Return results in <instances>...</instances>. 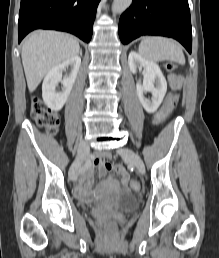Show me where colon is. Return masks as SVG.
I'll use <instances>...</instances> for the list:
<instances>
[{
  "label": "colon",
  "mask_w": 219,
  "mask_h": 258,
  "mask_svg": "<svg viewBox=\"0 0 219 258\" xmlns=\"http://www.w3.org/2000/svg\"><path fill=\"white\" fill-rule=\"evenodd\" d=\"M165 68L167 71L172 72L175 71L177 66L173 62H167L165 64ZM175 104V97L173 93H170L164 102V104L160 107V109L156 112L153 118V124L156 127H159L165 121L167 115L171 111ZM31 114L33 118L36 120L39 126L45 128L49 133L54 134L58 131L60 126V118L59 116L52 112L47 106L44 104L43 100L39 97H34L31 101ZM130 188L134 192L140 191V184L136 180L130 181ZM107 230L111 233L116 231V224L113 221H109L107 223Z\"/></svg>",
  "instance_id": "1"
}]
</instances>
